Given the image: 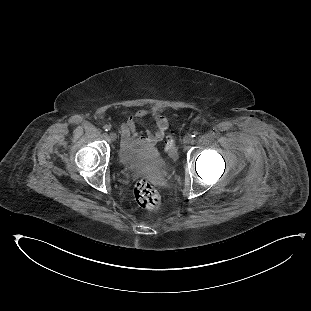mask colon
Returning <instances> with one entry per match:
<instances>
[{
  "mask_svg": "<svg viewBox=\"0 0 311 311\" xmlns=\"http://www.w3.org/2000/svg\"><path fill=\"white\" fill-rule=\"evenodd\" d=\"M164 151L172 156L176 152L174 138L167 135ZM134 196L137 204L146 210H158L161 204V197L157 189L146 179H139L134 185Z\"/></svg>",
  "mask_w": 311,
  "mask_h": 311,
  "instance_id": "obj_1",
  "label": "colon"
}]
</instances>
